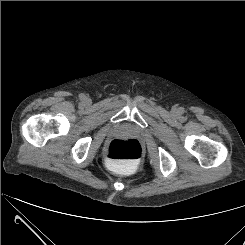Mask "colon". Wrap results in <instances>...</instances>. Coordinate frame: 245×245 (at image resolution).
<instances>
[{
  "instance_id": "obj_1",
  "label": "colon",
  "mask_w": 245,
  "mask_h": 245,
  "mask_svg": "<svg viewBox=\"0 0 245 245\" xmlns=\"http://www.w3.org/2000/svg\"><path fill=\"white\" fill-rule=\"evenodd\" d=\"M105 155L112 164L134 167L142 157V147L134 138L115 139L107 145Z\"/></svg>"
}]
</instances>
